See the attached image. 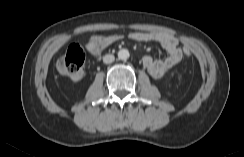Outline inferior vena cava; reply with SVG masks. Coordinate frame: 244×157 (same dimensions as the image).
Returning <instances> with one entry per match:
<instances>
[{
    "instance_id": "1",
    "label": "inferior vena cava",
    "mask_w": 244,
    "mask_h": 157,
    "mask_svg": "<svg viewBox=\"0 0 244 157\" xmlns=\"http://www.w3.org/2000/svg\"><path fill=\"white\" fill-rule=\"evenodd\" d=\"M114 60H115V57H114V55H112V54H107V55H105V56L103 57V62H104L105 64H110V63L114 62Z\"/></svg>"
}]
</instances>
